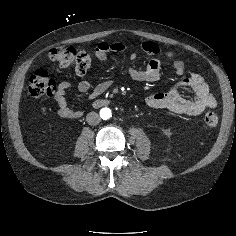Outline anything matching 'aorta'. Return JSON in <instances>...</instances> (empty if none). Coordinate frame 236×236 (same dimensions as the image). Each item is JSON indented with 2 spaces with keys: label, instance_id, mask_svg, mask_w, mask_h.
I'll return each instance as SVG.
<instances>
[{
  "label": "aorta",
  "instance_id": "aorta-1",
  "mask_svg": "<svg viewBox=\"0 0 236 236\" xmlns=\"http://www.w3.org/2000/svg\"><path fill=\"white\" fill-rule=\"evenodd\" d=\"M100 116L103 120H107V119L111 118V116H112L111 109L102 108L100 111Z\"/></svg>",
  "mask_w": 236,
  "mask_h": 236
}]
</instances>
